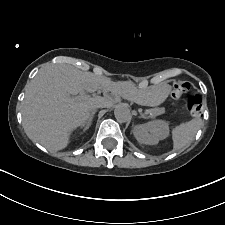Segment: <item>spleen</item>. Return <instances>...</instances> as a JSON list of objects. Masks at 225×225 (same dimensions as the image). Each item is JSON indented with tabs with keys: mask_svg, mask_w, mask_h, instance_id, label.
Returning <instances> with one entry per match:
<instances>
[{
	"mask_svg": "<svg viewBox=\"0 0 225 225\" xmlns=\"http://www.w3.org/2000/svg\"><path fill=\"white\" fill-rule=\"evenodd\" d=\"M202 124L200 118H194L172 129L173 150H179L190 145Z\"/></svg>",
	"mask_w": 225,
	"mask_h": 225,
	"instance_id": "spleen-1",
	"label": "spleen"
}]
</instances>
